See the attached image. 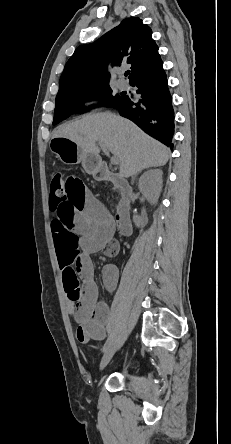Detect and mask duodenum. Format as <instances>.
Listing matches in <instances>:
<instances>
[{
	"instance_id": "410a0bca",
	"label": "duodenum",
	"mask_w": 231,
	"mask_h": 444,
	"mask_svg": "<svg viewBox=\"0 0 231 444\" xmlns=\"http://www.w3.org/2000/svg\"><path fill=\"white\" fill-rule=\"evenodd\" d=\"M97 175L102 179L113 182L122 195V201L118 207L115 226L121 236H129L132 226L129 214V206L132 198V188L128 182L120 175L112 172L106 165L102 164L97 171Z\"/></svg>"
}]
</instances>
